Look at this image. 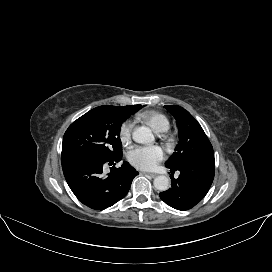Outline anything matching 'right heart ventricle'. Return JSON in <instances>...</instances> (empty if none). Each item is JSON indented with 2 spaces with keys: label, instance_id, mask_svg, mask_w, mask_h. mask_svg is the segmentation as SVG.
Listing matches in <instances>:
<instances>
[{
  "label": "right heart ventricle",
  "instance_id": "1",
  "mask_svg": "<svg viewBox=\"0 0 272 272\" xmlns=\"http://www.w3.org/2000/svg\"><path fill=\"white\" fill-rule=\"evenodd\" d=\"M139 118H141L144 122L149 124L156 132L164 133L170 127V122L168 117L158 111H146L142 113Z\"/></svg>",
  "mask_w": 272,
  "mask_h": 272
}]
</instances>
